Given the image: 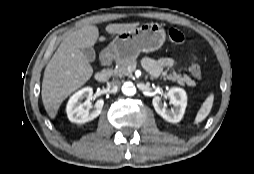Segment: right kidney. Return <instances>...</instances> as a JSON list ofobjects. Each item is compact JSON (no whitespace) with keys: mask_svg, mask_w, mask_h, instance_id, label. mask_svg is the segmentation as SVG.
Instances as JSON below:
<instances>
[{"mask_svg":"<svg viewBox=\"0 0 254 174\" xmlns=\"http://www.w3.org/2000/svg\"><path fill=\"white\" fill-rule=\"evenodd\" d=\"M92 95L93 89L91 87H85L70 97L66 106V112L68 119L71 122L82 124L91 121L100 115L104 101L102 99L97 100L94 105V109L90 111L92 108L90 101L92 99ZM84 98L87 100L82 103Z\"/></svg>","mask_w":254,"mask_h":174,"instance_id":"right-kidney-1","label":"right kidney"}]
</instances>
